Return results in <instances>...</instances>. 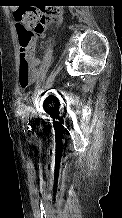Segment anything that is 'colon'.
<instances>
[{
  "mask_svg": "<svg viewBox=\"0 0 122 218\" xmlns=\"http://www.w3.org/2000/svg\"><path fill=\"white\" fill-rule=\"evenodd\" d=\"M58 8H19L14 11L19 37V82L23 88L32 84L35 78L32 51L35 41L47 28L59 21Z\"/></svg>",
  "mask_w": 122,
  "mask_h": 218,
  "instance_id": "colon-1",
  "label": "colon"
}]
</instances>
